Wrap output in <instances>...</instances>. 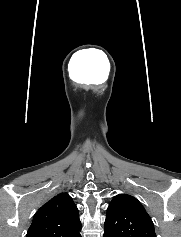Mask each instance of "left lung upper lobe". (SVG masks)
Masks as SVG:
<instances>
[{"mask_svg": "<svg viewBox=\"0 0 181 237\" xmlns=\"http://www.w3.org/2000/svg\"><path fill=\"white\" fill-rule=\"evenodd\" d=\"M103 237H156V234L141 203L131 195L118 194L108 206Z\"/></svg>", "mask_w": 181, "mask_h": 237, "instance_id": "5c2ea615", "label": "left lung upper lobe"}]
</instances>
